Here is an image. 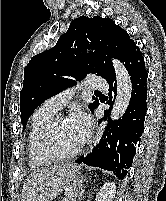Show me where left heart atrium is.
Instances as JSON below:
<instances>
[{
	"mask_svg": "<svg viewBox=\"0 0 166 201\" xmlns=\"http://www.w3.org/2000/svg\"><path fill=\"white\" fill-rule=\"evenodd\" d=\"M69 122L77 133L80 143L83 144L91 132V117L84 111L76 110L72 113Z\"/></svg>",
	"mask_w": 166,
	"mask_h": 201,
	"instance_id": "39dd6f15",
	"label": "left heart atrium"
}]
</instances>
